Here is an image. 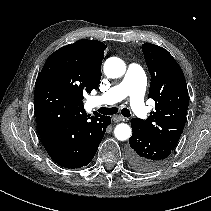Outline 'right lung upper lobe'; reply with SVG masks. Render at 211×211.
Listing matches in <instances>:
<instances>
[{"mask_svg":"<svg viewBox=\"0 0 211 211\" xmlns=\"http://www.w3.org/2000/svg\"><path fill=\"white\" fill-rule=\"evenodd\" d=\"M106 45L100 41L82 39L61 47L51 55H62L74 67L85 87L91 92L98 89L101 79V63Z\"/></svg>","mask_w":211,"mask_h":211,"instance_id":"1","label":"right lung upper lobe"}]
</instances>
